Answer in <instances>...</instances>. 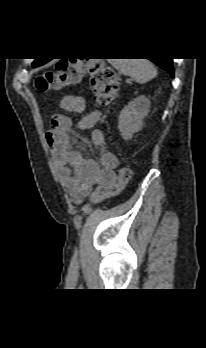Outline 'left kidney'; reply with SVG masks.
<instances>
[{
    "label": "left kidney",
    "mask_w": 206,
    "mask_h": 348,
    "mask_svg": "<svg viewBox=\"0 0 206 348\" xmlns=\"http://www.w3.org/2000/svg\"><path fill=\"white\" fill-rule=\"evenodd\" d=\"M150 99L140 95L125 106L119 115L118 128L124 140H130L142 129L143 120L149 113Z\"/></svg>",
    "instance_id": "obj_1"
}]
</instances>
